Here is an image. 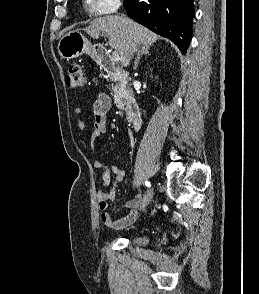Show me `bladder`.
<instances>
[{
    "label": "bladder",
    "instance_id": "31cf9c89",
    "mask_svg": "<svg viewBox=\"0 0 259 294\" xmlns=\"http://www.w3.org/2000/svg\"><path fill=\"white\" fill-rule=\"evenodd\" d=\"M149 240L147 236L138 235L133 238V241L138 244L146 243Z\"/></svg>",
    "mask_w": 259,
    "mask_h": 294
}]
</instances>
